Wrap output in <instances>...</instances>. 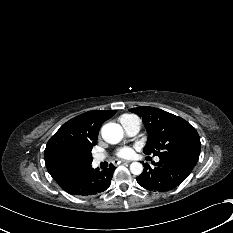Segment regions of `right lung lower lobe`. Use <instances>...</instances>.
I'll return each instance as SVG.
<instances>
[{
  "instance_id": "right-lung-lower-lobe-1",
  "label": "right lung lower lobe",
  "mask_w": 233,
  "mask_h": 233,
  "mask_svg": "<svg viewBox=\"0 0 233 233\" xmlns=\"http://www.w3.org/2000/svg\"><path fill=\"white\" fill-rule=\"evenodd\" d=\"M115 167L111 164L109 168L100 171L93 169L91 165L77 174L74 180L62 188L71 195L90 196L105 191L111 183Z\"/></svg>"
}]
</instances>
